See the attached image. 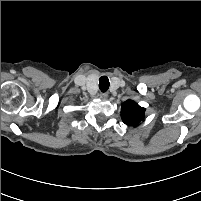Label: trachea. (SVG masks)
Listing matches in <instances>:
<instances>
[{
    "mask_svg": "<svg viewBox=\"0 0 201 201\" xmlns=\"http://www.w3.org/2000/svg\"><path fill=\"white\" fill-rule=\"evenodd\" d=\"M110 86L109 79L107 76H102L99 79V88L102 92H106Z\"/></svg>",
    "mask_w": 201,
    "mask_h": 201,
    "instance_id": "trachea-1",
    "label": "trachea"
}]
</instances>
